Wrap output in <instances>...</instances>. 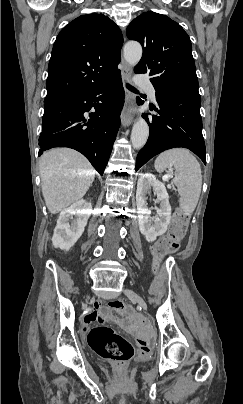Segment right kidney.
I'll return each instance as SVG.
<instances>
[{"label": "right kidney", "instance_id": "ca27d5eb", "mask_svg": "<svg viewBox=\"0 0 243 404\" xmlns=\"http://www.w3.org/2000/svg\"><path fill=\"white\" fill-rule=\"evenodd\" d=\"M74 216V218H73ZM90 214L86 210V202L80 200L70 208L62 210L54 230L52 244L60 250H70L82 236ZM72 220V222H70Z\"/></svg>", "mask_w": 243, "mask_h": 404}]
</instances>
